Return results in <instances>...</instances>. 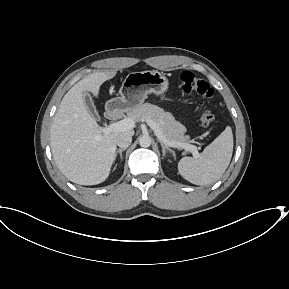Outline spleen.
Segmentation results:
<instances>
[{"label":"spleen","instance_id":"1","mask_svg":"<svg viewBox=\"0 0 289 289\" xmlns=\"http://www.w3.org/2000/svg\"><path fill=\"white\" fill-rule=\"evenodd\" d=\"M233 152L231 127L209 144L198 157H183L178 163L180 175L196 185L216 182L229 166Z\"/></svg>","mask_w":289,"mask_h":289}]
</instances>
